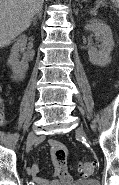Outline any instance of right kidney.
<instances>
[{"instance_id":"right-kidney-1","label":"right kidney","mask_w":119,"mask_h":185,"mask_svg":"<svg viewBox=\"0 0 119 185\" xmlns=\"http://www.w3.org/2000/svg\"><path fill=\"white\" fill-rule=\"evenodd\" d=\"M26 44L27 36H20L17 42L13 45L11 49V54L7 61L8 65L11 66L13 72L11 78L15 81L23 80L25 78V73L29 68L28 62L26 60L19 61V51L23 49Z\"/></svg>"}]
</instances>
